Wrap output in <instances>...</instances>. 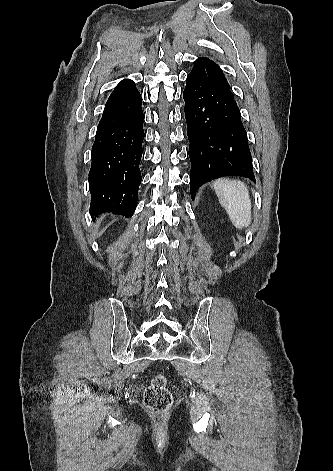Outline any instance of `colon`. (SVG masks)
Returning a JSON list of instances; mask_svg holds the SVG:
<instances>
[{
  "mask_svg": "<svg viewBox=\"0 0 333 471\" xmlns=\"http://www.w3.org/2000/svg\"><path fill=\"white\" fill-rule=\"evenodd\" d=\"M144 403L157 413L167 412L172 403L173 396L168 388L167 378L163 374L156 375L144 391Z\"/></svg>",
  "mask_w": 333,
  "mask_h": 471,
  "instance_id": "5ec220e1",
  "label": "colon"
}]
</instances>
